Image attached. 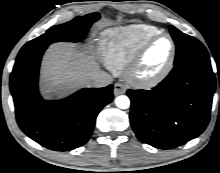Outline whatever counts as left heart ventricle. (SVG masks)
<instances>
[{
  "label": "left heart ventricle",
  "instance_id": "obj_1",
  "mask_svg": "<svg viewBox=\"0 0 220 173\" xmlns=\"http://www.w3.org/2000/svg\"><path fill=\"white\" fill-rule=\"evenodd\" d=\"M170 53V42L168 38L162 37L153 43L147 50L140 73L143 76H151L160 71L167 63Z\"/></svg>",
  "mask_w": 220,
  "mask_h": 173
}]
</instances>
